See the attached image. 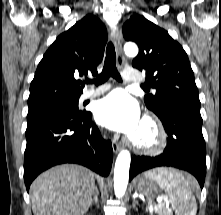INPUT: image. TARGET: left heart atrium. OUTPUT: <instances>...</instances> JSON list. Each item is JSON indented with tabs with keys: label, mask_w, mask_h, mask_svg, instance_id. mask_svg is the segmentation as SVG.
Instances as JSON below:
<instances>
[{
	"label": "left heart atrium",
	"mask_w": 221,
	"mask_h": 215,
	"mask_svg": "<svg viewBox=\"0 0 221 215\" xmlns=\"http://www.w3.org/2000/svg\"><path fill=\"white\" fill-rule=\"evenodd\" d=\"M95 118L100 125L129 136H134L141 126L139 106L123 90H116L99 100Z\"/></svg>",
	"instance_id": "obj_1"
}]
</instances>
